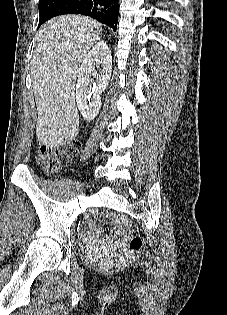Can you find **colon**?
Segmentation results:
<instances>
[{"label":"colon","mask_w":227,"mask_h":315,"mask_svg":"<svg viewBox=\"0 0 227 315\" xmlns=\"http://www.w3.org/2000/svg\"><path fill=\"white\" fill-rule=\"evenodd\" d=\"M79 148V142L75 140L60 147L41 145L38 149L37 159L47 170L54 172L73 159L78 154ZM114 222L128 233V248L124 255H115L105 259L102 263L104 268L118 265L125 259L137 257L143 245L140 237L131 234V224L127 218L115 215Z\"/></svg>","instance_id":"1"}]
</instances>
